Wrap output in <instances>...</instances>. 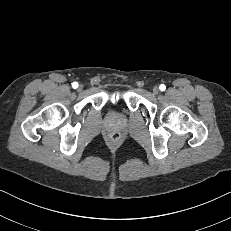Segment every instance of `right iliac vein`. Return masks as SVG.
<instances>
[{"instance_id":"right-iliac-vein-1","label":"right iliac vein","mask_w":231,"mask_h":231,"mask_svg":"<svg viewBox=\"0 0 231 231\" xmlns=\"http://www.w3.org/2000/svg\"><path fill=\"white\" fill-rule=\"evenodd\" d=\"M83 89V85H79L78 90L81 91Z\"/></svg>"}]
</instances>
